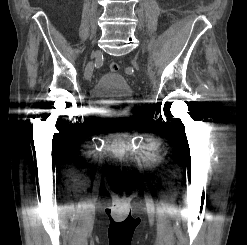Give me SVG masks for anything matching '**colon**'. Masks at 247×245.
<instances>
[{
	"label": "colon",
	"mask_w": 247,
	"mask_h": 245,
	"mask_svg": "<svg viewBox=\"0 0 247 245\" xmlns=\"http://www.w3.org/2000/svg\"><path fill=\"white\" fill-rule=\"evenodd\" d=\"M109 69L111 72H117L119 70V65L118 63L116 62H112L110 65H109Z\"/></svg>",
	"instance_id": "1"
}]
</instances>
